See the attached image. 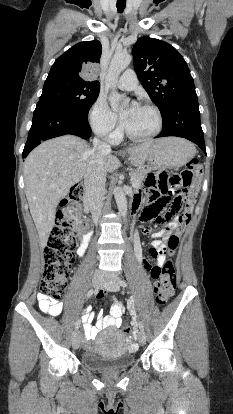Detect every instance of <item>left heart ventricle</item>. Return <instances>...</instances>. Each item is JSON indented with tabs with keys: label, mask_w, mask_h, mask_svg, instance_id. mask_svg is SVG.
I'll return each instance as SVG.
<instances>
[{
	"label": "left heart ventricle",
	"mask_w": 233,
	"mask_h": 414,
	"mask_svg": "<svg viewBox=\"0 0 233 414\" xmlns=\"http://www.w3.org/2000/svg\"><path fill=\"white\" fill-rule=\"evenodd\" d=\"M127 109L122 112V121L130 132L135 135H148L155 131L158 120L152 110L138 106L126 113Z\"/></svg>",
	"instance_id": "obj_1"
}]
</instances>
